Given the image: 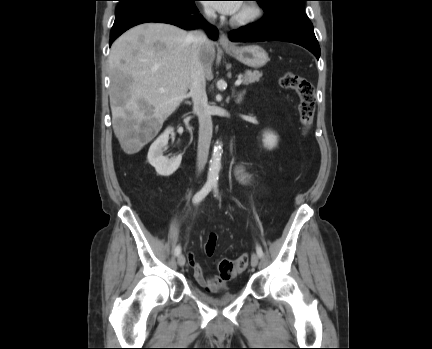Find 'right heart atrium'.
Wrapping results in <instances>:
<instances>
[{"mask_svg": "<svg viewBox=\"0 0 432 349\" xmlns=\"http://www.w3.org/2000/svg\"><path fill=\"white\" fill-rule=\"evenodd\" d=\"M204 15H205L206 17H210V16L212 15V12H211L210 10L206 9V10L204 11Z\"/></svg>", "mask_w": 432, "mask_h": 349, "instance_id": "d8ad5b80", "label": "right heart atrium"}]
</instances>
